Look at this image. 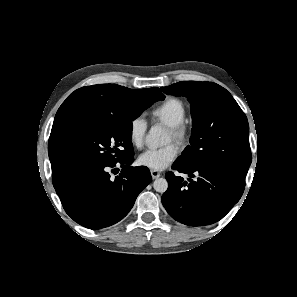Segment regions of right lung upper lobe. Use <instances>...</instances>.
I'll return each mask as SVG.
<instances>
[{
    "mask_svg": "<svg viewBox=\"0 0 297 297\" xmlns=\"http://www.w3.org/2000/svg\"><path fill=\"white\" fill-rule=\"evenodd\" d=\"M142 90H149L161 98H165L157 87L133 90L116 84L82 87L67 97L56 113L48 143L53 180L58 179L64 173V171L59 170L58 160L54 154V145L61 127L84 114L117 111L124 107L132 96Z\"/></svg>",
    "mask_w": 297,
    "mask_h": 297,
    "instance_id": "obj_1",
    "label": "right lung upper lobe"
}]
</instances>
